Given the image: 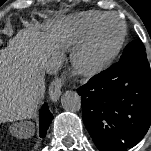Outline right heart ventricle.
I'll list each match as a JSON object with an SVG mask.
<instances>
[{"label": "right heart ventricle", "instance_id": "obj_1", "mask_svg": "<svg viewBox=\"0 0 151 151\" xmlns=\"http://www.w3.org/2000/svg\"><path fill=\"white\" fill-rule=\"evenodd\" d=\"M105 14L107 13L96 10L82 12L74 16L71 23L81 36H86L96 21Z\"/></svg>", "mask_w": 151, "mask_h": 151}]
</instances>
